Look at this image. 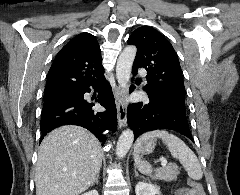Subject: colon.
I'll return each mask as SVG.
<instances>
[{"label":"colon","instance_id":"1","mask_svg":"<svg viewBox=\"0 0 240 195\" xmlns=\"http://www.w3.org/2000/svg\"><path fill=\"white\" fill-rule=\"evenodd\" d=\"M190 192L195 194L197 193V195H202V185L201 184L195 185V182L191 181Z\"/></svg>","mask_w":240,"mask_h":195}]
</instances>
